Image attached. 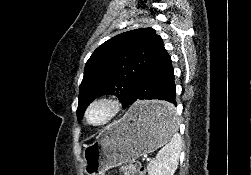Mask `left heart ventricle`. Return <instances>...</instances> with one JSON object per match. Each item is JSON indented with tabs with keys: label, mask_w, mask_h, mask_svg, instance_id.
Masks as SVG:
<instances>
[{
	"label": "left heart ventricle",
	"mask_w": 251,
	"mask_h": 175,
	"mask_svg": "<svg viewBox=\"0 0 251 175\" xmlns=\"http://www.w3.org/2000/svg\"><path fill=\"white\" fill-rule=\"evenodd\" d=\"M112 113L113 108L110 105L97 103L91 108L89 118L93 124L100 125L108 121Z\"/></svg>",
	"instance_id": "1"
}]
</instances>
